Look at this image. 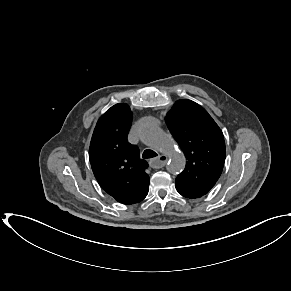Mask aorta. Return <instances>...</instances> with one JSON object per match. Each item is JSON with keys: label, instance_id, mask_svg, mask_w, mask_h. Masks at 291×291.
Segmentation results:
<instances>
[{"label": "aorta", "instance_id": "obj_1", "mask_svg": "<svg viewBox=\"0 0 291 291\" xmlns=\"http://www.w3.org/2000/svg\"><path fill=\"white\" fill-rule=\"evenodd\" d=\"M143 143L169 157L167 169L172 173L181 172L186 165L185 156L175 148L174 140L155 124L144 126L140 133Z\"/></svg>", "mask_w": 291, "mask_h": 291}]
</instances>
